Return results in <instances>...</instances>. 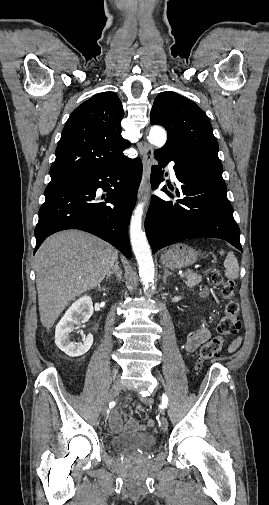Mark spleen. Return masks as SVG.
Segmentation results:
<instances>
[{"mask_svg":"<svg viewBox=\"0 0 269 505\" xmlns=\"http://www.w3.org/2000/svg\"><path fill=\"white\" fill-rule=\"evenodd\" d=\"M225 252L223 250L220 251V255H223ZM225 267V276L228 279H237L239 276V264L237 258L235 257L233 252H229L227 254L226 259L224 260Z\"/></svg>","mask_w":269,"mask_h":505,"instance_id":"spleen-1","label":"spleen"}]
</instances>
